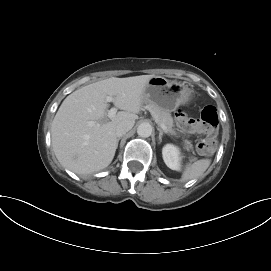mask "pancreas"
Segmentation results:
<instances>
[{
    "mask_svg": "<svg viewBox=\"0 0 271 271\" xmlns=\"http://www.w3.org/2000/svg\"><path fill=\"white\" fill-rule=\"evenodd\" d=\"M146 108L150 111L158 125L164 124L167 127V132H169L171 135H177V132L173 128L174 127L173 118L169 112L151 103H148L146 105ZM183 141L185 149L188 151H192L193 154H195L191 141L188 139H184Z\"/></svg>",
    "mask_w": 271,
    "mask_h": 271,
    "instance_id": "cf45deb5",
    "label": "pancreas"
}]
</instances>
